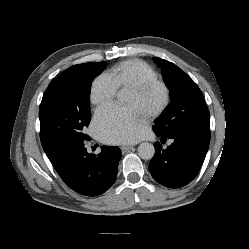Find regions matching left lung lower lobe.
I'll use <instances>...</instances> for the list:
<instances>
[{
    "instance_id": "obj_1",
    "label": "left lung lower lobe",
    "mask_w": 249,
    "mask_h": 249,
    "mask_svg": "<svg viewBox=\"0 0 249 249\" xmlns=\"http://www.w3.org/2000/svg\"><path fill=\"white\" fill-rule=\"evenodd\" d=\"M161 142L167 137L161 136ZM173 143L162 148L156 142V152L153 156L149 170L152 177L163 186L179 188L197 175L208 151L210 136L186 135L171 137Z\"/></svg>"
}]
</instances>
